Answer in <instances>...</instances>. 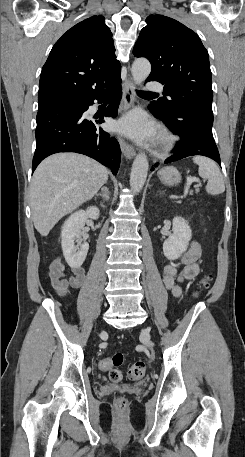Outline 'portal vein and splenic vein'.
Instances as JSON below:
<instances>
[{"label": "portal vein and splenic vein", "mask_w": 245, "mask_h": 457, "mask_svg": "<svg viewBox=\"0 0 245 457\" xmlns=\"http://www.w3.org/2000/svg\"><path fill=\"white\" fill-rule=\"evenodd\" d=\"M187 182H188L189 187H194V184H196V182H200V178H197V176H187ZM189 187H187V188H189ZM188 193H189V190L185 189L183 196H186V194H188Z\"/></svg>", "instance_id": "1"}]
</instances>
